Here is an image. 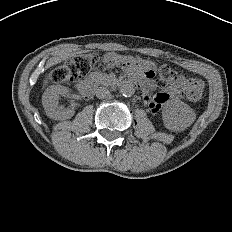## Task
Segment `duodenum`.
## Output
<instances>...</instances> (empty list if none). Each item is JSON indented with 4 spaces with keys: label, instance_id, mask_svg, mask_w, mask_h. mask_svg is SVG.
<instances>
[{
    "label": "duodenum",
    "instance_id": "1",
    "mask_svg": "<svg viewBox=\"0 0 232 232\" xmlns=\"http://www.w3.org/2000/svg\"><path fill=\"white\" fill-rule=\"evenodd\" d=\"M134 84H139V82L134 81ZM141 85H142V83H141ZM77 88H78L79 92L86 97H90L94 93V88H93L92 83L89 81H86V80L79 82L77 85Z\"/></svg>",
    "mask_w": 232,
    "mask_h": 232
}]
</instances>
